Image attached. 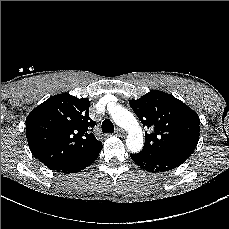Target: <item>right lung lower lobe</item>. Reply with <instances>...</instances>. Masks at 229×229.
<instances>
[{
    "mask_svg": "<svg viewBox=\"0 0 229 229\" xmlns=\"http://www.w3.org/2000/svg\"><path fill=\"white\" fill-rule=\"evenodd\" d=\"M101 149H102V145L91 153H88L77 159H74L67 164L61 165L56 168H50V169L56 172H61L66 174L79 172L84 168H86L87 166H89L90 164H92L97 159Z\"/></svg>",
    "mask_w": 229,
    "mask_h": 229,
    "instance_id": "98d812e1",
    "label": "right lung lower lobe"
}]
</instances>
